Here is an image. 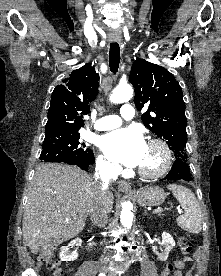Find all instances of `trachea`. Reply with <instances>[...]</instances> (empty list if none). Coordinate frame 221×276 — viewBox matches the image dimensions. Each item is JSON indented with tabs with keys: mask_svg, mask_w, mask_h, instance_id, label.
<instances>
[{
	"mask_svg": "<svg viewBox=\"0 0 221 276\" xmlns=\"http://www.w3.org/2000/svg\"><path fill=\"white\" fill-rule=\"evenodd\" d=\"M120 63V47L118 43L110 44L109 65L112 73H116Z\"/></svg>",
	"mask_w": 221,
	"mask_h": 276,
	"instance_id": "1",
	"label": "trachea"
}]
</instances>
